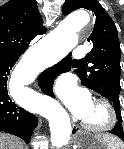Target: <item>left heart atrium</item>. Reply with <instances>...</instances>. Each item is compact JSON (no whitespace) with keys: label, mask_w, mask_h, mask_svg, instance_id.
<instances>
[{"label":"left heart atrium","mask_w":124,"mask_h":149,"mask_svg":"<svg viewBox=\"0 0 124 149\" xmlns=\"http://www.w3.org/2000/svg\"><path fill=\"white\" fill-rule=\"evenodd\" d=\"M54 91L67 109L78 119L84 120L94 104L90 93L78 87L69 76L60 77L54 85Z\"/></svg>","instance_id":"1"}]
</instances>
